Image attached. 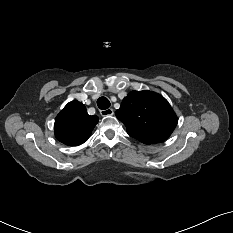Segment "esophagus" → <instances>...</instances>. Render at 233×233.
I'll return each instance as SVG.
<instances>
[{
  "mask_svg": "<svg viewBox=\"0 0 233 233\" xmlns=\"http://www.w3.org/2000/svg\"><path fill=\"white\" fill-rule=\"evenodd\" d=\"M100 114L103 117H108V116H112L114 114V111H113V109L108 108V109L101 110Z\"/></svg>",
  "mask_w": 233,
  "mask_h": 233,
  "instance_id": "34e87169",
  "label": "esophagus"
}]
</instances>
